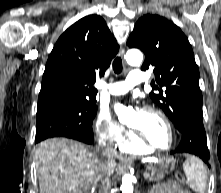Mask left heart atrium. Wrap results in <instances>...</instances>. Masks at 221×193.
I'll return each mask as SVG.
<instances>
[{
  "label": "left heart atrium",
  "mask_w": 221,
  "mask_h": 193,
  "mask_svg": "<svg viewBox=\"0 0 221 193\" xmlns=\"http://www.w3.org/2000/svg\"><path fill=\"white\" fill-rule=\"evenodd\" d=\"M142 113H143V111H142L141 109L137 108L136 114L140 115V114H142Z\"/></svg>",
  "instance_id": "obj_1"
}]
</instances>
